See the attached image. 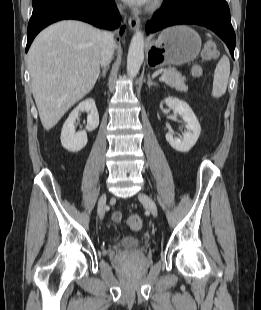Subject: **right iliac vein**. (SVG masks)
I'll return each instance as SVG.
<instances>
[{
  "label": "right iliac vein",
  "instance_id": "obj_1",
  "mask_svg": "<svg viewBox=\"0 0 261 310\" xmlns=\"http://www.w3.org/2000/svg\"><path fill=\"white\" fill-rule=\"evenodd\" d=\"M106 208V194L103 193L98 201V215L100 219L104 218Z\"/></svg>",
  "mask_w": 261,
  "mask_h": 310
}]
</instances>
